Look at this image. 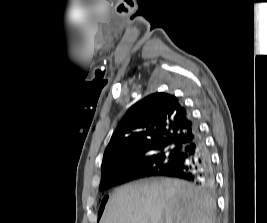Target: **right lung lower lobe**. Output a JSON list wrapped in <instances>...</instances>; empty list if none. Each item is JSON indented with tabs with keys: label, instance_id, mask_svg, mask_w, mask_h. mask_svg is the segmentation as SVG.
Listing matches in <instances>:
<instances>
[{
	"label": "right lung lower lobe",
	"instance_id": "98d812e1",
	"mask_svg": "<svg viewBox=\"0 0 267 223\" xmlns=\"http://www.w3.org/2000/svg\"><path fill=\"white\" fill-rule=\"evenodd\" d=\"M196 132V138L183 147L176 162L170 168L159 171L153 175L138 174L136 172L115 175L105 181L102 189L149 176L179 178L194 182L205 188H212L214 186V175L211 158L197 127Z\"/></svg>",
	"mask_w": 267,
	"mask_h": 223
}]
</instances>
